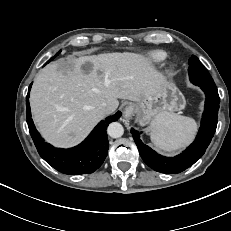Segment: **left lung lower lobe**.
I'll use <instances>...</instances> for the list:
<instances>
[{"mask_svg":"<svg viewBox=\"0 0 231 231\" xmlns=\"http://www.w3.org/2000/svg\"><path fill=\"white\" fill-rule=\"evenodd\" d=\"M198 86L206 95L201 127L194 142L178 156L165 157L158 154L142 143L140 132L131 129L133 139L143 161L153 170L166 174L180 173L200 159L210 144L217 127L220 98L216 87Z\"/></svg>","mask_w":231,"mask_h":231,"instance_id":"left-lung-lower-lobe-1","label":"left lung lower lobe"}]
</instances>
